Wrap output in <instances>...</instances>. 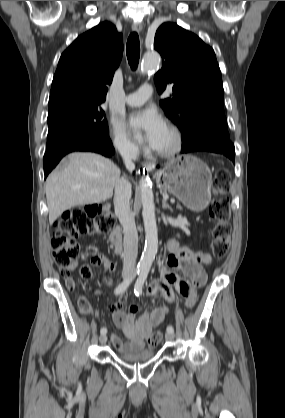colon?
I'll return each mask as SVG.
<instances>
[{"label":"colon","instance_id":"colon-1","mask_svg":"<svg viewBox=\"0 0 285 418\" xmlns=\"http://www.w3.org/2000/svg\"><path fill=\"white\" fill-rule=\"evenodd\" d=\"M228 183L223 172H218L213 192L215 200L209 206L210 218L214 221L212 230L211 253L202 257L205 263L206 258H224L230 246V208L226 198ZM116 218L107 213L101 212L96 205L72 208L63 213L61 218L55 223L51 235V247L56 264L60 268L62 276H66V268L73 264L79 256L81 247L76 240L80 235H95L107 233L115 224ZM105 262L100 255H94L89 264L84 263L80 266V274L83 277H90L92 267L105 266ZM80 299L85 300L84 296ZM193 303L190 302L191 305ZM160 332L154 333L147 340L149 348L155 347L161 340Z\"/></svg>","mask_w":285,"mask_h":418}]
</instances>
